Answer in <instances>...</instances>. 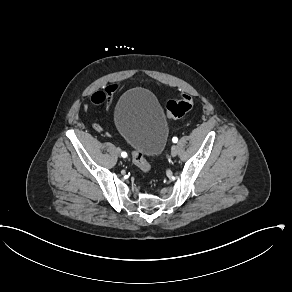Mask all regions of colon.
Returning a JSON list of instances; mask_svg holds the SVG:
<instances>
[{"mask_svg": "<svg viewBox=\"0 0 292 292\" xmlns=\"http://www.w3.org/2000/svg\"><path fill=\"white\" fill-rule=\"evenodd\" d=\"M105 98L106 94L103 91L96 92L92 97V106L101 105L104 103ZM193 104L192 97L182 95L179 99L167 101L164 114L167 118H181L193 108ZM93 126L96 131H101L99 122L95 121ZM131 160L142 174H149L150 166L142 150L134 149L131 154Z\"/></svg>", "mask_w": 292, "mask_h": 292, "instance_id": "colon-1", "label": "colon"}]
</instances>
